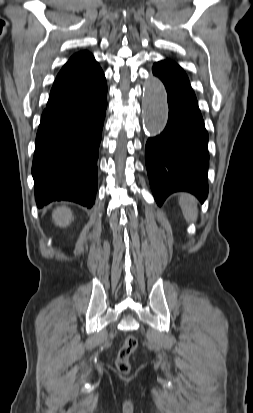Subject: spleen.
I'll use <instances>...</instances> for the list:
<instances>
[{"label": "spleen", "mask_w": 253, "mask_h": 413, "mask_svg": "<svg viewBox=\"0 0 253 413\" xmlns=\"http://www.w3.org/2000/svg\"><path fill=\"white\" fill-rule=\"evenodd\" d=\"M179 204L186 221L195 222L198 217L196 199L190 194H182L179 198Z\"/></svg>", "instance_id": "3e777b00"}]
</instances>
